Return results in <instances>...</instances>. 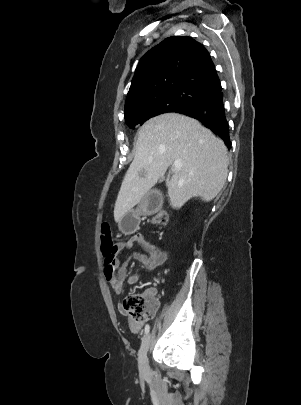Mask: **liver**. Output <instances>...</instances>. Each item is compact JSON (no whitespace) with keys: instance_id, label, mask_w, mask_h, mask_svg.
<instances>
[{"instance_id":"obj_1","label":"liver","mask_w":301,"mask_h":405,"mask_svg":"<svg viewBox=\"0 0 301 405\" xmlns=\"http://www.w3.org/2000/svg\"><path fill=\"white\" fill-rule=\"evenodd\" d=\"M179 160L166 186L172 208L182 207L193 197L209 202L222 190L228 174L224 142L197 120L167 113L151 118L138 132L134 160L121 184L114 207L117 223ZM145 171L144 177L140 172Z\"/></svg>"}]
</instances>
